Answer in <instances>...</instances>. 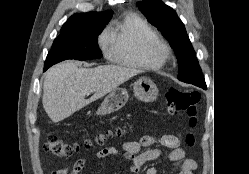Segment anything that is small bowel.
I'll return each mask as SVG.
<instances>
[{
  "instance_id": "obj_1",
  "label": "small bowel",
  "mask_w": 249,
  "mask_h": 174,
  "mask_svg": "<svg viewBox=\"0 0 249 174\" xmlns=\"http://www.w3.org/2000/svg\"><path fill=\"white\" fill-rule=\"evenodd\" d=\"M182 137L180 134L144 135L138 140L126 142L121 149L116 147H105L96 153L97 159L107 157H121L131 162V173L139 174L143 165L149 161L163 160L166 162H179L178 174H193L197 169V161L192 158H185L181 148ZM159 144L168 148L169 152L163 154L161 149L152 146ZM146 150H143L145 149ZM87 164L86 158L76 160L71 166L54 170L52 174H81ZM144 174H161L155 167H148Z\"/></svg>"
}]
</instances>
